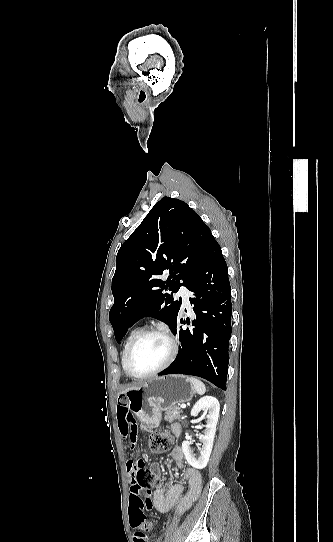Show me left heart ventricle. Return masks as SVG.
<instances>
[{
    "label": "left heart ventricle",
    "instance_id": "obj_1",
    "mask_svg": "<svg viewBox=\"0 0 333 542\" xmlns=\"http://www.w3.org/2000/svg\"><path fill=\"white\" fill-rule=\"evenodd\" d=\"M168 345L158 335L141 339L132 352L130 370L135 375H145L157 369L167 358Z\"/></svg>",
    "mask_w": 333,
    "mask_h": 542
}]
</instances>
